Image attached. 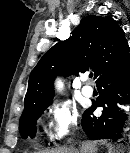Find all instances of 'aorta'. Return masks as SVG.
Masks as SVG:
<instances>
[{
	"mask_svg": "<svg viewBox=\"0 0 130 153\" xmlns=\"http://www.w3.org/2000/svg\"><path fill=\"white\" fill-rule=\"evenodd\" d=\"M63 87H64L63 82H62L60 79L57 80V81H56V88H57L58 90H62Z\"/></svg>",
	"mask_w": 130,
	"mask_h": 153,
	"instance_id": "obj_1",
	"label": "aorta"
}]
</instances>
